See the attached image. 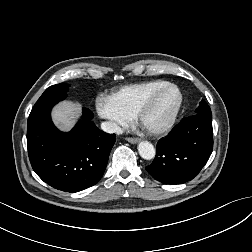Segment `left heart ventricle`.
<instances>
[{"instance_id":"1","label":"left heart ventricle","mask_w":252,"mask_h":252,"mask_svg":"<svg viewBox=\"0 0 252 252\" xmlns=\"http://www.w3.org/2000/svg\"><path fill=\"white\" fill-rule=\"evenodd\" d=\"M178 101L179 93L176 89L170 88L162 92L146 113L144 124L147 127H160L165 124L170 119Z\"/></svg>"}]
</instances>
